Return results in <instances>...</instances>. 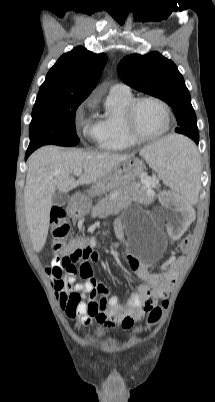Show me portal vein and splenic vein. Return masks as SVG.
<instances>
[{"label": "portal vein and splenic vein", "mask_w": 215, "mask_h": 402, "mask_svg": "<svg viewBox=\"0 0 215 402\" xmlns=\"http://www.w3.org/2000/svg\"><path fill=\"white\" fill-rule=\"evenodd\" d=\"M81 174H82L81 169H77V170L74 171V175L77 176V177L80 176Z\"/></svg>", "instance_id": "portal-vein-and-splenic-vein-1"}]
</instances>
